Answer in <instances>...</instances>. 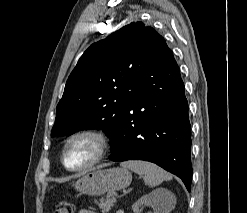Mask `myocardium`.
I'll return each instance as SVG.
<instances>
[{"instance_id": "f54148a6", "label": "myocardium", "mask_w": 247, "mask_h": 213, "mask_svg": "<svg viewBox=\"0 0 247 213\" xmlns=\"http://www.w3.org/2000/svg\"><path fill=\"white\" fill-rule=\"evenodd\" d=\"M80 137H89L93 139L96 142L97 150H96L95 156L87 164L80 166V167L72 168V167H69L66 163V160H65L66 151H67L69 144L75 139L80 138ZM109 149H110V140H109V137L103 131L96 130V129L77 130L73 132L72 134H70L65 140L63 147H62V152H61V162L64 168L70 172H83L99 164L106 157Z\"/></svg>"}]
</instances>
